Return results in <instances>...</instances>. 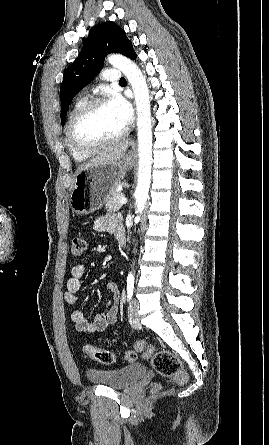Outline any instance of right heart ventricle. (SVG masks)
I'll list each match as a JSON object with an SVG mask.
<instances>
[{
  "label": "right heart ventricle",
  "instance_id": "right-heart-ventricle-1",
  "mask_svg": "<svg viewBox=\"0 0 269 445\" xmlns=\"http://www.w3.org/2000/svg\"><path fill=\"white\" fill-rule=\"evenodd\" d=\"M86 102V99L85 98H82V99H79L76 103H75V105L73 106V108H72V110H71V113H70V118L72 117V115L84 104ZM66 142H67V147H68V149H69V151H70V153H71V155H72V157L76 160V161H78V162H81V161H84V160H86L87 158H88V156H89V154H83V153H80V152H77L76 150H74L71 146H70V144L68 143V141L66 140Z\"/></svg>",
  "mask_w": 269,
  "mask_h": 445
}]
</instances>
